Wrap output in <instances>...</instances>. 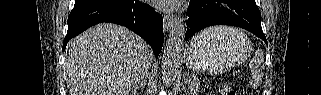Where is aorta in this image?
<instances>
[{
    "instance_id": "obj_1",
    "label": "aorta",
    "mask_w": 321,
    "mask_h": 95,
    "mask_svg": "<svg viewBox=\"0 0 321 95\" xmlns=\"http://www.w3.org/2000/svg\"><path fill=\"white\" fill-rule=\"evenodd\" d=\"M186 26L182 19L173 26L162 58V80L170 85L179 71L182 51L184 47Z\"/></svg>"
}]
</instances>
